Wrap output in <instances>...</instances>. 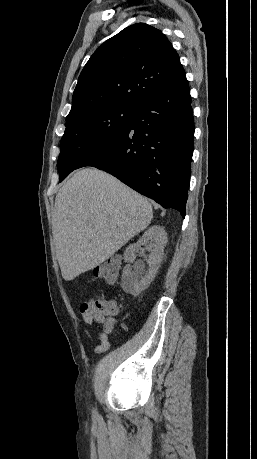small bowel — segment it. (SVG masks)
Wrapping results in <instances>:
<instances>
[{
    "mask_svg": "<svg viewBox=\"0 0 257 459\" xmlns=\"http://www.w3.org/2000/svg\"><path fill=\"white\" fill-rule=\"evenodd\" d=\"M115 280L110 281V283H114ZM91 300V299H90ZM112 305V313L106 320H101L95 317V315L91 312H82L81 316L84 322L88 325H93L95 323H102V327L100 328V343L94 348L93 352L95 354H101L108 350L110 343H109V335L114 327L115 324V316L119 313V306L116 301H110ZM85 337L90 340V335L87 331L84 332Z\"/></svg>",
    "mask_w": 257,
    "mask_h": 459,
    "instance_id": "1",
    "label": "small bowel"
}]
</instances>
